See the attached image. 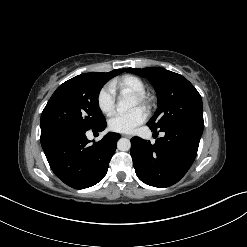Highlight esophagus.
Masks as SVG:
<instances>
[{"mask_svg":"<svg viewBox=\"0 0 247 247\" xmlns=\"http://www.w3.org/2000/svg\"><path fill=\"white\" fill-rule=\"evenodd\" d=\"M122 136H124V137H127V138H131L132 136H130V135H125V134H123Z\"/></svg>","mask_w":247,"mask_h":247,"instance_id":"obj_1","label":"esophagus"}]
</instances>
